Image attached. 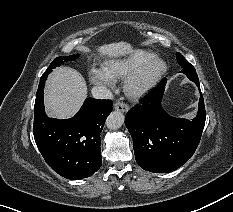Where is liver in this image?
<instances>
[{
    "instance_id": "obj_1",
    "label": "liver",
    "mask_w": 233,
    "mask_h": 212,
    "mask_svg": "<svg viewBox=\"0 0 233 212\" xmlns=\"http://www.w3.org/2000/svg\"><path fill=\"white\" fill-rule=\"evenodd\" d=\"M101 56L117 58L133 52L130 43L115 42L97 48ZM87 97L83 76L70 67L53 70L45 86V109L49 117L66 119L72 117Z\"/></svg>"
}]
</instances>
